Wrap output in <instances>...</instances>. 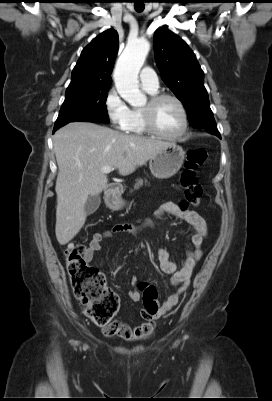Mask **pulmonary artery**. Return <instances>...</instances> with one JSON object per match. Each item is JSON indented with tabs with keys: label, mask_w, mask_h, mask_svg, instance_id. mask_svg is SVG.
I'll list each match as a JSON object with an SVG mask.
<instances>
[{
	"label": "pulmonary artery",
	"mask_w": 272,
	"mask_h": 401,
	"mask_svg": "<svg viewBox=\"0 0 272 401\" xmlns=\"http://www.w3.org/2000/svg\"><path fill=\"white\" fill-rule=\"evenodd\" d=\"M140 82L142 87L150 92H156L159 87L156 72L151 67H145L140 73Z\"/></svg>",
	"instance_id": "e3ab8cb5"
}]
</instances>
